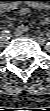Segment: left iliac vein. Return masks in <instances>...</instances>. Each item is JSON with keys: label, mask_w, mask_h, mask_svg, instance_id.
<instances>
[{"label": "left iliac vein", "mask_w": 50, "mask_h": 111, "mask_svg": "<svg viewBox=\"0 0 50 111\" xmlns=\"http://www.w3.org/2000/svg\"><path fill=\"white\" fill-rule=\"evenodd\" d=\"M36 40H37V42L40 43V44H43V43H44V39H43L42 37H40V36H37V37H36Z\"/></svg>", "instance_id": "1"}]
</instances>
